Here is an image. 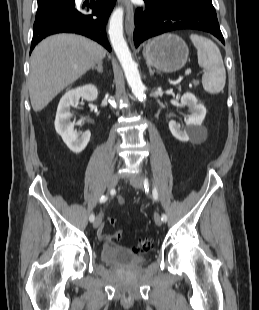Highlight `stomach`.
<instances>
[{"label": "stomach", "mask_w": 259, "mask_h": 310, "mask_svg": "<svg viewBox=\"0 0 259 310\" xmlns=\"http://www.w3.org/2000/svg\"><path fill=\"white\" fill-rule=\"evenodd\" d=\"M189 49L177 35L164 34L156 37L143 49V56L149 66L162 72H175L187 62Z\"/></svg>", "instance_id": "obj_1"}]
</instances>
